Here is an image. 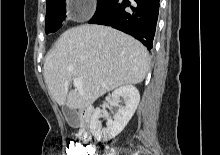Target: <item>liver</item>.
Wrapping results in <instances>:
<instances>
[{"label":"liver","instance_id":"6515ba94","mask_svg":"<svg viewBox=\"0 0 220 155\" xmlns=\"http://www.w3.org/2000/svg\"><path fill=\"white\" fill-rule=\"evenodd\" d=\"M149 70V54L133 37L101 25L66 30L48 53L43 68L51 97L60 105L84 109L106 92L141 83ZM75 78L82 94L70 90Z\"/></svg>","mask_w":220,"mask_h":155}]
</instances>
